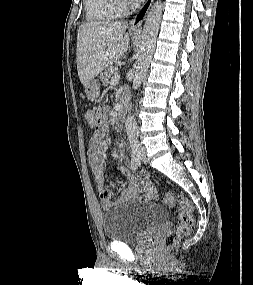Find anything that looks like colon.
Masks as SVG:
<instances>
[{
    "label": "colon",
    "mask_w": 253,
    "mask_h": 285,
    "mask_svg": "<svg viewBox=\"0 0 253 285\" xmlns=\"http://www.w3.org/2000/svg\"><path fill=\"white\" fill-rule=\"evenodd\" d=\"M86 119L91 127H98L101 124L100 116L97 112L89 110L86 112ZM111 193L104 191L102 198L110 197ZM163 203L168 207L179 206V224L177 228L169 232L163 240L165 248L175 246L181 239L188 236L195 222L193 207L191 202L182 195L168 192L163 197Z\"/></svg>",
    "instance_id": "1"
}]
</instances>
